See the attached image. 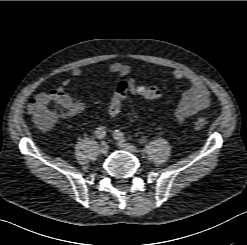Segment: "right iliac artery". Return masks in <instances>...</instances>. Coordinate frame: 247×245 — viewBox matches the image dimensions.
Listing matches in <instances>:
<instances>
[{
	"label": "right iliac artery",
	"instance_id": "1",
	"mask_svg": "<svg viewBox=\"0 0 247 245\" xmlns=\"http://www.w3.org/2000/svg\"><path fill=\"white\" fill-rule=\"evenodd\" d=\"M95 133L99 139H103L106 135L105 127H103V126L98 127L96 129Z\"/></svg>",
	"mask_w": 247,
	"mask_h": 245
}]
</instances>
